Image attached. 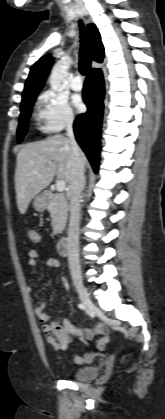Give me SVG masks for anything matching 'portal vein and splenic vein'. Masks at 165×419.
<instances>
[{
  "label": "portal vein and splenic vein",
  "mask_w": 165,
  "mask_h": 419,
  "mask_svg": "<svg viewBox=\"0 0 165 419\" xmlns=\"http://www.w3.org/2000/svg\"><path fill=\"white\" fill-rule=\"evenodd\" d=\"M33 173L35 174V173H37V170H34L33 171ZM65 186H66V182L64 181V180H58L57 182H56V190L58 191V192H62V191H64L65 190Z\"/></svg>",
  "instance_id": "obj_1"
}]
</instances>
